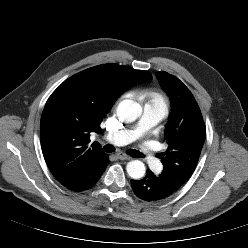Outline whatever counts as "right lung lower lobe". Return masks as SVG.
Masks as SVG:
<instances>
[{"label":"right lung lower lobe","mask_w":248,"mask_h":248,"mask_svg":"<svg viewBox=\"0 0 248 248\" xmlns=\"http://www.w3.org/2000/svg\"><path fill=\"white\" fill-rule=\"evenodd\" d=\"M109 162L108 155L106 154L99 159L88 162L79 170L77 178L65 185V187L74 192H81L92 188L100 179Z\"/></svg>","instance_id":"1"}]
</instances>
